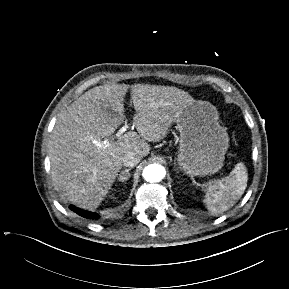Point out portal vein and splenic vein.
<instances>
[{"label":"portal vein and splenic vein","instance_id":"portal-vein-and-splenic-vein-1","mask_svg":"<svg viewBox=\"0 0 289 289\" xmlns=\"http://www.w3.org/2000/svg\"><path fill=\"white\" fill-rule=\"evenodd\" d=\"M128 126L125 125L123 126L122 128H120V130L116 133V137L117 138H120L122 136V134L127 130ZM93 143L98 146V147H108L109 146V143L107 141H103V142H98L96 140L93 141Z\"/></svg>","mask_w":289,"mask_h":289}]
</instances>
